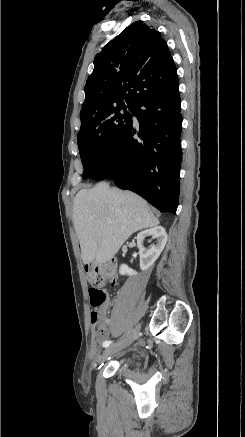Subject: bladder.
<instances>
[{
	"mask_svg": "<svg viewBox=\"0 0 245 437\" xmlns=\"http://www.w3.org/2000/svg\"><path fill=\"white\" fill-rule=\"evenodd\" d=\"M135 363V359L133 357H128L124 360H122L121 365L123 367H131Z\"/></svg>",
	"mask_w": 245,
	"mask_h": 437,
	"instance_id": "1",
	"label": "bladder"
}]
</instances>
